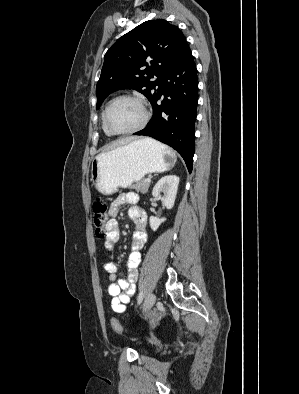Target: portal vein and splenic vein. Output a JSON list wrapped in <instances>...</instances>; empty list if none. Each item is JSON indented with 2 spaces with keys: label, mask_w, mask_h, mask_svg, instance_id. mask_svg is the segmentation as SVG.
<instances>
[{
  "label": "portal vein and splenic vein",
  "mask_w": 299,
  "mask_h": 394,
  "mask_svg": "<svg viewBox=\"0 0 299 394\" xmlns=\"http://www.w3.org/2000/svg\"><path fill=\"white\" fill-rule=\"evenodd\" d=\"M146 182H147V183H150V182H151V180H150L149 178H147V179H146Z\"/></svg>",
  "instance_id": "obj_1"
}]
</instances>
